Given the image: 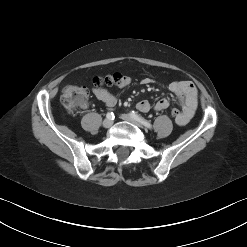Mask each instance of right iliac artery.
<instances>
[{"instance_id": "right-iliac-artery-1", "label": "right iliac artery", "mask_w": 247, "mask_h": 247, "mask_svg": "<svg viewBox=\"0 0 247 247\" xmlns=\"http://www.w3.org/2000/svg\"><path fill=\"white\" fill-rule=\"evenodd\" d=\"M106 117H107L108 119L113 120L115 116H114V114H113L112 112H109V113H107Z\"/></svg>"}]
</instances>
